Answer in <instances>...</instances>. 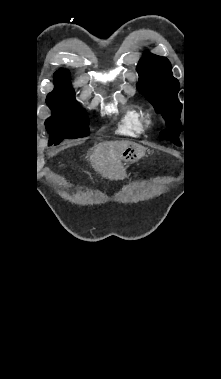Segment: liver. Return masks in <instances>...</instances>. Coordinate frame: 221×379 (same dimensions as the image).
Returning a JSON list of instances; mask_svg holds the SVG:
<instances>
[{
  "label": "liver",
  "instance_id": "obj_1",
  "mask_svg": "<svg viewBox=\"0 0 221 379\" xmlns=\"http://www.w3.org/2000/svg\"><path fill=\"white\" fill-rule=\"evenodd\" d=\"M130 144L132 143L129 141L103 142L92 148L86 158L102 177L110 180L122 179L125 176L122 154Z\"/></svg>",
  "mask_w": 221,
  "mask_h": 379
}]
</instances>
